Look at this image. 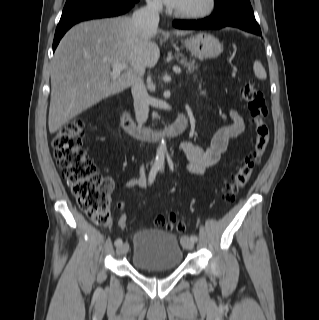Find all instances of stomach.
Segmentation results:
<instances>
[{
  "label": "stomach",
  "mask_w": 319,
  "mask_h": 320,
  "mask_svg": "<svg viewBox=\"0 0 319 320\" xmlns=\"http://www.w3.org/2000/svg\"><path fill=\"white\" fill-rule=\"evenodd\" d=\"M192 56L200 60L219 56L223 50L219 40L209 33H198L183 41Z\"/></svg>",
  "instance_id": "0dacf381"
}]
</instances>
